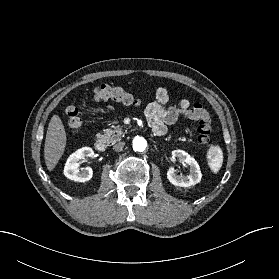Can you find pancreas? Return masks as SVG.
Listing matches in <instances>:
<instances>
[{"instance_id": "cf45deb5", "label": "pancreas", "mask_w": 279, "mask_h": 279, "mask_svg": "<svg viewBox=\"0 0 279 279\" xmlns=\"http://www.w3.org/2000/svg\"><path fill=\"white\" fill-rule=\"evenodd\" d=\"M122 137H124V132L121 126H116L114 129H106L104 130V134L100 135V138H102L108 144H114L117 141H120ZM179 140L185 141V138H179Z\"/></svg>"}]
</instances>
